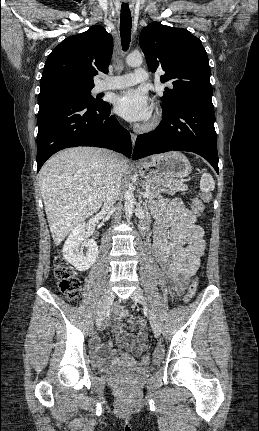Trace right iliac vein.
Instances as JSON below:
<instances>
[{"label": "right iliac vein", "instance_id": "right-iliac-vein-1", "mask_svg": "<svg viewBox=\"0 0 259 431\" xmlns=\"http://www.w3.org/2000/svg\"><path fill=\"white\" fill-rule=\"evenodd\" d=\"M113 300H114V293L110 288H108L105 292L103 302L101 304V307L99 309V312L96 318V324L98 327L102 325L105 319L106 313L110 308Z\"/></svg>", "mask_w": 259, "mask_h": 431}]
</instances>
